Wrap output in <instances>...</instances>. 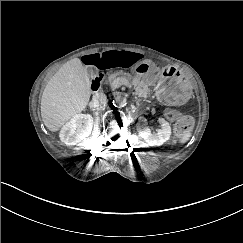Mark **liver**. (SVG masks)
Segmentation results:
<instances>
[{"label":"liver","instance_id":"1","mask_svg":"<svg viewBox=\"0 0 243 243\" xmlns=\"http://www.w3.org/2000/svg\"><path fill=\"white\" fill-rule=\"evenodd\" d=\"M91 82L79 58L65 63L47 82L40 111L46 128L53 133L83 111L90 100Z\"/></svg>","mask_w":243,"mask_h":243}]
</instances>
